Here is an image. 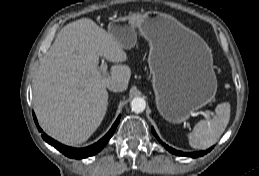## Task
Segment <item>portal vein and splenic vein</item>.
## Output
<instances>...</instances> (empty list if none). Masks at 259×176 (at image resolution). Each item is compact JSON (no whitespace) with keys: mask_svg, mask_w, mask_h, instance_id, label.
I'll return each mask as SVG.
<instances>
[{"mask_svg":"<svg viewBox=\"0 0 259 176\" xmlns=\"http://www.w3.org/2000/svg\"><path fill=\"white\" fill-rule=\"evenodd\" d=\"M100 71L103 74H106V72H107V65L104 62H102L101 65H100ZM202 115H204L206 118H209L210 115H211V112L205 111V112H202Z\"/></svg>","mask_w":259,"mask_h":176,"instance_id":"obj_1","label":"portal vein and splenic vein"}]
</instances>
